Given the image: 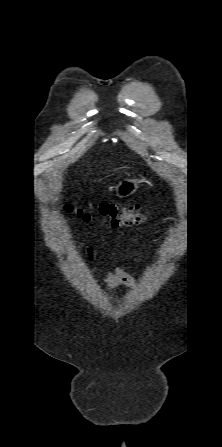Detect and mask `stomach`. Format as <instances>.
Masks as SVG:
<instances>
[{
	"instance_id": "1",
	"label": "stomach",
	"mask_w": 222,
	"mask_h": 447,
	"mask_svg": "<svg viewBox=\"0 0 222 447\" xmlns=\"http://www.w3.org/2000/svg\"><path fill=\"white\" fill-rule=\"evenodd\" d=\"M140 183L139 179L123 178L114 185L113 190L118 197L126 198L137 191Z\"/></svg>"
}]
</instances>
